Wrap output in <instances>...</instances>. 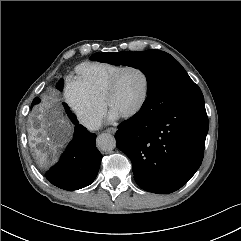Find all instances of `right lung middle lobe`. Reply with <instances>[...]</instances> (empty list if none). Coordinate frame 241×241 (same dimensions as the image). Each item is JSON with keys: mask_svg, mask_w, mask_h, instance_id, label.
I'll return each instance as SVG.
<instances>
[{"mask_svg": "<svg viewBox=\"0 0 241 241\" xmlns=\"http://www.w3.org/2000/svg\"><path fill=\"white\" fill-rule=\"evenodd\" d=\"M57 88H58L59 90H62V89H63V80H62V79H61V80L59 81V83L57 84ZM39 102H40V99H39L38 97H36V98L33 100L32 104H31V108H32L35 104H38ZM63 105H64V107H65V110H66L69 118H72L73 113H71L69 107H68L66 104H63Z\"/></svg>", "mask_w": 241, "mask_h": 241, "instance_id": "right-lung-middle-lobe-1", "label": "right lung middle lobe"}]
</instances>
